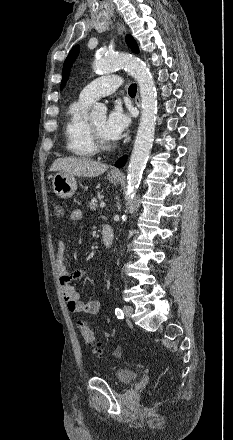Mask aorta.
<instances>
[{
	"label": "aorta",
	"instance_id": "1",
	"mask_svg": "<svg viewBox=\"0 0 233 440\" xmlns=\"http://www.w3.org/2000/svg\"><path fill=\"white\" fill-rule=\"evenodd\" d=\"M93 68L101 74H108L123 68L137 81L141 96V119L130 157L127 175V201L130 203L138 188L148 160L155 133L157 115V94L153 77L146 64L139 58L127 54L96 56ZM106 106L95 104L92 117L105 116Z\"/></svg>",
	"mask_w": 233,
	"mask_h": 440
}]
</instances>
